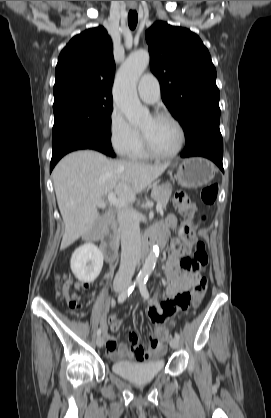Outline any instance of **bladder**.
Instances as JSON below:
<instances>
[{
  "instance_id": "bladder-1",
  "label": "bladder",
  "mask_w": 271,
  "mask_h": 418,
  "mask_svg": "<svg viewBox=\"0 0 271 418\" xmlns=\"http://www.w3.org/2000/svg\"><path fill=\"white\" fill-rule=\"evenodd\" d=\"M165 362L162 356L146 361L118 360L113 363V372L135 384H145L153 381L162 373Z\"/></svg>"
}]
</instances>
